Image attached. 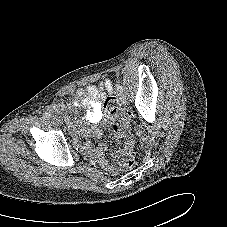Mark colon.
I'll return each mask as SVG.
<instances>
[{
	"label": "colon",
	"instance_id": "obj_1",
	"mask_svg": "<svg viewBox=\"0 0 227 227\" xmlns=\"http://www.w3.org/2000/svg\"><path fill=\"white\" fill-rule=\"evenodd\" d=\"M104 110L111 117L122 116L124 119L127 117L126 112L121 108L120 102L115 97H109L106 99ZM113 130L115 139L129 149L122 159L121 166L124 170L132 169L136 164V160L131 152L134 145V138L130 131V124L124 120L120 124H116L113 127Z\"/></svg>",
	"mask_w": 227,
	"mask_h": 227
}]
</instances>
